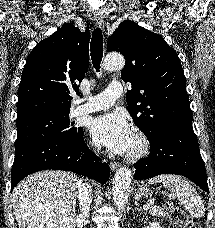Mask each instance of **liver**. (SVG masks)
Returning <instances> with one entry per match:
<instances>
[{
    "instance_id": "1",
    "label": "liver",
    "mask_w": 215,
    "mask_h": 228,
    "mask_svg": "<svg viewBox=\"0 0 215 228\" xmlns=\"http://www.w3.org/2000/svg\"><path fill=\"white\" fill-rule=\"evenodd\" d=\"M76 174L36 172L12 192L18 228H76Z\"/></svg>"
}]
</instances>
